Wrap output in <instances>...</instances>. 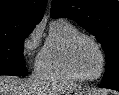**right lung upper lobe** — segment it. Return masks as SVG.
<instances>
[{
    "mask_svg": "<svg viewBox=\"0 0 119 95\" xmlns=\"http://www.w3.org/2000/svg\"><path fill=\"white\" fill-rule=\"evenodd\" d=\"M47 0H0V31L11 26L35 27L44 14Z\"/></svg>",
    "mask_w": 119,
    "mask_h": 95,
    "instance_id": "cb5924a9",
    "label": "right lung upper lobe"
}]
</instances>
